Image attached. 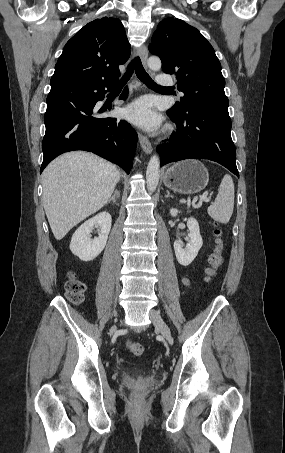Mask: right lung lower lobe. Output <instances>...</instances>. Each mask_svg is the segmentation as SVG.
<instances>
[{
    "mask_svg": "<svg viewBox=\"0 0 285 453\" xmlns=\"http://www.w3.org/2000/svg\"><path fill=\"white\" fill-rule=\"evenodd\" d=\"M114 85L88 86L63 83L51 86L44 116V153L40 173L58 155L73 151L93 152L129 173L132 168L137 134L124 120L99 118L93 108ZM125 89L120 99H126ZM110 107L108 110H111Z\"/></svg>",
    "mask_w": 285,
    "mask_h": 453,
    "instance_id": "98d812e1",
    "label": "right lung lower lobe"
}]
</instances>
